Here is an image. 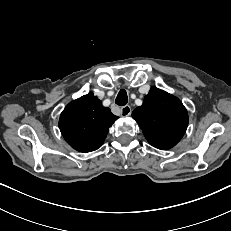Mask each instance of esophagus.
<instances>
[{"instance_id":"1","label":"esophagus","mask_w":231,"mask_h":231,"mask_svg":"<svg viewBox=\"0 0 231 231\" xmlns=\"http://www.w3.org/2000/svg\"><path fill=\"white\" fill-rule=\"evenodd\" d=\"M121 116L127 117L131 114V107L129 105H125L121 108Z\"/></svg>"}]
</instances>
